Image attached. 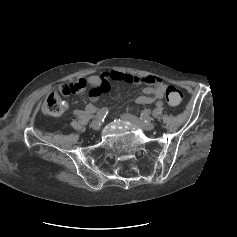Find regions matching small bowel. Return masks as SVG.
<instances>
[{
	"label": "small bowel",
	"mask_w": 237,
	"mask_h": 237,
	"mask_svg": "<svg viewBox=\"0 0 237 237\" xmlns=\"http://www.w3.org/2000/svg\"><path fill=\"white\" fill-rule=\"evenodd\" d=\"M112 81H121L126 84H144V94L137 98L139 104H150L162 99L166 90L165 82L157 76H136L114 70L104 71L100 75H92L69 82L67 85L62 86L60 90L69 94L90 88L89 95L92 103L87 106L86 111L92 114L100 96L110 91V83ZM67 106V104H64V108H67Z\"/></svg>",
	"instance_id": "1"
}]
</instances>
